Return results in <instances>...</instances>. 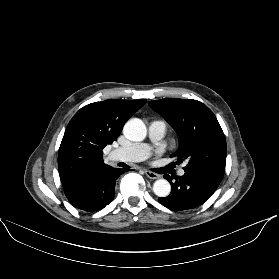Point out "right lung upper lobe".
Instances as JSON below:
<instances>
[{
  "label": "right lung upper lobe",
  "mask_w": 279,
  "mask_h": 279,
  "mask_svg": "<svg viewBox=\"0 0 279 279\" xmlns=\"http://www.w3.org/2000/svg\"><path fill=\"white\" fill-rule=\"evenodd\" d=\"M145 99H111L81 108L69 122L58 153V170L65 188L112 170L103 161V148L115 141L127 120Z\"/></svg>",
  "instance_id": "cb5924a9"
}]
</instances>
